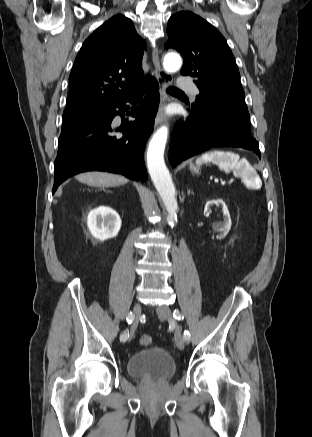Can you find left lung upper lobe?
<instances>
[{
    "label": "left lung upper lobe",
    "mask_w": 312,
    "mask_h": 437,
    "mask_svg": "<svg viewBox=\"0 0 312 437\" xmlns=\"http://www.w3.org/2000/svg\"><path fill=\"white\" fill-rule=\"evenodd\" d=\"M167 33L169 44L165 47L182 54L181 74L194 77L200 90L192 109L221 113L252 136L239 70L224 37L190 11L174 14Z\"/></svg>",
    "instance_id": "obj_1"
}]
</instances>
